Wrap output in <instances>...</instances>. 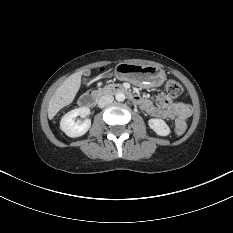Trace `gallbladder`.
Wrapping results in <instances>:
<instances>
[{
	"mask_svg": "<svg viewBox=\"0 0 233 233\" xmlns=\"http://www.w3.org/2000/svg\"><path fill=\"white\" fill-rule=\"evenodd\" d=\"M90 73H91L90 70H85V71H84V75H85V76H89Z\"/></svg>",
	"mask_w": 233,
	"mask_h": 233,
	"instance_id": "bac80fb5",
	"label": "gallbladder"
}]
</instances>
